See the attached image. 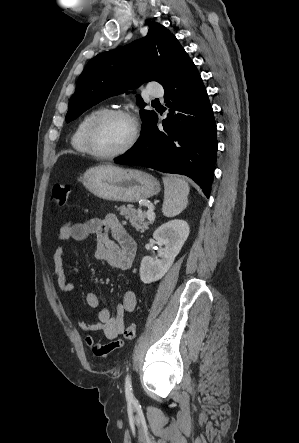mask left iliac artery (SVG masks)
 <instances>
[{
	"mask_svg": "<svg viewBox=\"0 0 299 443\" xmlns=\"http://www.w3.org/2000/svg\"><path fill=\"white\" fill-rule=\"evenodd\" d=\"M125 394H126L127 400H130V401L134 400V395H133V390H132V382H131V377L129 374L126 376V379H125Z\"/></svg>",
	"mask_w": 299,
	"mask_h": 443,
	"instance_id": "obj_1",
	"label": "left iliac artery"
}]
</instances>
